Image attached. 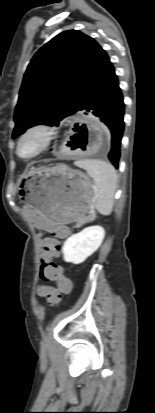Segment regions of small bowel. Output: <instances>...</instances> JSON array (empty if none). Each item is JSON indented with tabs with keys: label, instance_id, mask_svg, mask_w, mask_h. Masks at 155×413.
<instances>
[{
	"label": "small bowel",
	"instance_id": "small-bowel-1",
	"mask_svg": "<svg viewBox=\"0 0 155 413\" xmlns=\"http://www.w3.org/2000/svg\"><path fill=\"white\" fill-rule=\"evenodd\" d=\"M21 212L25 214L27 218H32L31 225L32 227H36L37 231H52V235L56 237H66L70 234V229L66 226H61L60 222H48L47 218L39 215L34 205H23ZM51 290H55V288L40 285L37 291L39 296L47 297Z\"/></svg>",
	"mask_w": 155,
	"mask_h": 413
}]
</instances>
